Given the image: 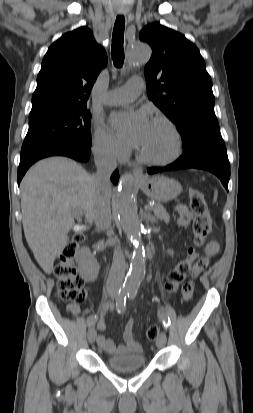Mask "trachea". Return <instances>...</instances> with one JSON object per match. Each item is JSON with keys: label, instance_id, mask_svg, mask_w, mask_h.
Masks as SVG:
<instances>
[{"label": "trachea", "instance_id": "trachea-1", "mask_svg": "<svg viewBox=\"0 0 253 413\" xmlns=\"http://www.w3.org/2000/svg\"><path fill=\"white\" fill-rule=\"evenodd\" d=\"M124 29L125 18L117 16L112 34V59L117 68H120L124 63Z\"/></svg>", "mask_w": 253, "mask_h": 413}]
</instances>
